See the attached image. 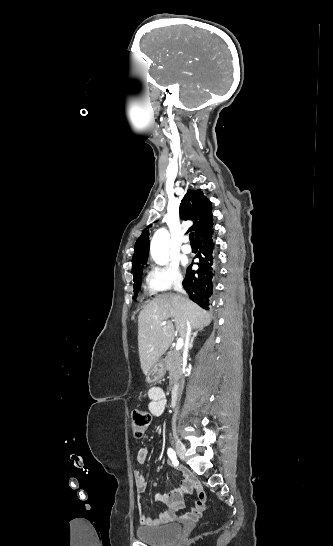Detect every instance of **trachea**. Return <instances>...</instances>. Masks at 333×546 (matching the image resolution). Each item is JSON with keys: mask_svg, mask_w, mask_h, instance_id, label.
Masks as SVG:
<instances>
[{"mask_svg": "<svg viewBox=\"0 0 333 546\" xmlns=\"http://www.w3.org/2000/svg\"><path fill=\"white\" fill-rule=\"evenodd\" d=\"M189 237H190V243H191V245L195 244L194 234H193V233H190Z\"/></svg>", "mask_w": 333, "mask_h": 546, "instance_id": "trachea-1", "label": "trachea"}]
</instances>
